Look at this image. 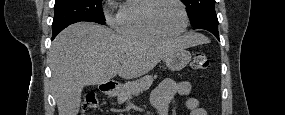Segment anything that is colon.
Returning <instances> with one entry per match:
<instances>
[{
    "instance_id": "colon-1",
    "label": "colon",
    "mask_w": 285,
    "mask_h": 115,
    "mask_svg": "<svg viewBox=\"0 0 285 115\" xmlns=\"http://www.w3.org/2000/svg\"><path fill=\"white\" fill-rule=\"evenodd\" d=\"M209 65L207 56L204 53H196L192 59L191 66L195 70L206 69ZM98 108V100L94 93H88L85 96L82 110L84 112L95 110Z\"/></svg>"
}]
</instances>
